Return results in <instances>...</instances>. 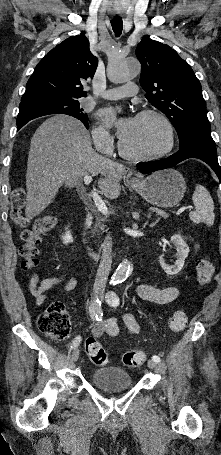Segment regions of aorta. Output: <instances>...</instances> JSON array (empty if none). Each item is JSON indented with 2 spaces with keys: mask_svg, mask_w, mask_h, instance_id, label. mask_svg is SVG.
I'll list each match as a JSON object with an SVG mask.
<instances>
[{
  "mask_svg": "<svg viewBox=\"0 0 221 455\" xmlns=\"http://www.w3.org/2000/svg\"><path fill=\"white\" fill-rule=\"evenodd\" d=\"M140 69V64L136 60H117L109 63L107 74L112 82L121 83L137 76ZM131 270L130 261L123 260L117 267L112 280L117 282L125 279Z\"/></svg>",
  "mask_w": 221,
  "mask_h": 455,
  "instance_id": "obj_1",
  "label": "aorta"
}]
</instances>
